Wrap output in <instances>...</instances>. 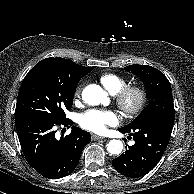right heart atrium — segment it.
Wrapping results in <instances>:
<instances>
[{"label":"right heart atrium","mask_w":194,"mask_h":194,"mask_svg":"<svg viewBox=\"0 0 194 194\" xmlns=\"http://www.w3.org/2000/svg\"><path fill=\"white\" fill-rule=\"evenodd\" d=\"M83 88H84V84H83V83L79 84V85L76 87V89H75V96H76V97L79 98V97L81 96L82 91H83Z\"/></svg>","instance_id":"d8ad5b80"}]
</instances>
